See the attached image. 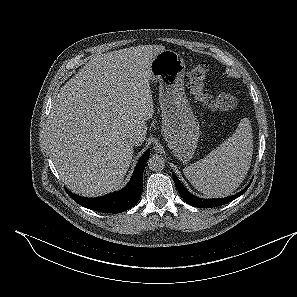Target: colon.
I'll return each mask as SVG.
<instances>
[{"label": "colon", "mask_w": 297, "mask_h": 297, "mask_svg": "<svg viewBox=\"0 0 297 297\" xmlns=\"http://www.w3.org/2000/svg\"><path fill=\"white\" fill-rule=\"evenodd\" d=\"M209 66L205 62L196 64L189 72V87L193 96L206 108L228 112L237 107V99L229 93L211 94L205 87Z\"/></svg>", "instance_id": "colon-1"}]
</instances>
